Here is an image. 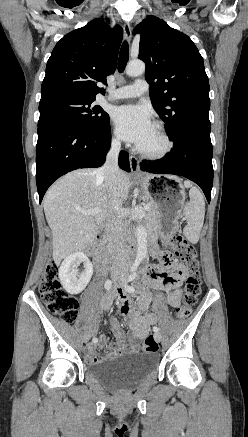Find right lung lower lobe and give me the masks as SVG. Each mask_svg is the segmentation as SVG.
Returning <instances> with one entry per match:
<instances>
[{
  "instance_id": "1",
  "label": "right lung lower lobe",
  "mask_w": 248,
  "mask_h": 437,
  "mask_svg": "<svg viewBox=\"0 0 248 437\" xmlns=\"http://www.w3.org/2000/svg\"><path fill=\"white\" fill-rule=\"evenodd\" d=\"M110 125L87 129L61 118L39 119L36 147V182L41 203L49 186L60 176L78 168H95L104 164L110 148ZM119 166L130 172L129 157L119 155Z\"/></svg>"
}]
</instances>
